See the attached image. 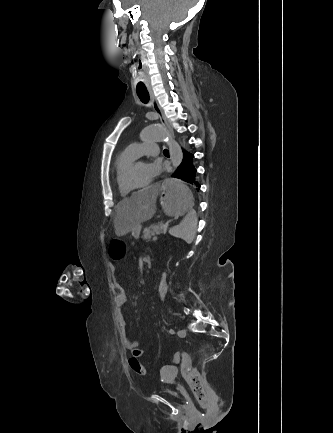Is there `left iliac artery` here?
<instances>
[{
  "mask_svg": "<svg viewBox=\"0 0 333 433\" xmlns=\"http://www.w3.org/2000/svg\"><path fill=\"white\" fill-rule=\"evenodd\" d=\"M169 333H170V334H174L175 332H174L173 329H170V330H169Z\"/></svg>",
  "mask_w": 333,
  "mask_h": 433,
  "instance_id": "1",
  "label": "left iliac artery"
}]
</instances>
